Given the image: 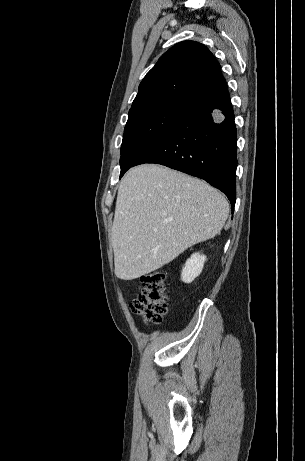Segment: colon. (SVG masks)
<instances>
[{
  "instance_id": "5ec220e1",
  "label": "colon",
  "mask_w": 305,
  "mask_h": 461,
  "mask_svg": "<svg viewBox=\"0 0 305 461\" xmlns=\"http://www.w3.org/2000/svg\"><path fill=\"white\" fill-rule=\"evenodd\" d=\"M166 272L155 270L146 274L142 289L130 305L131 311L149 323H160L168 311Z\"/></svg>"
}]
</instances>
